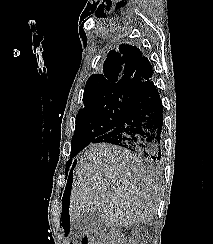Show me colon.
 Here are the masks:
<instances>
[{
    "instance_id": "obj_1",
    "label": "colon",
    "mask_w": 213,
    "mask_h": 244,
    "mask_svg": "<svg viewBox=\"0 0 213 244\" xmlns=\"http://www.w3.org/2000/svg\"><path fill=\"white\" fill-rule=\"evenodd\" d=\"M81 244H114V243L109 236L102 233H96L91 236H84L82 238Z\"/></svg>"
}]
</instances>
